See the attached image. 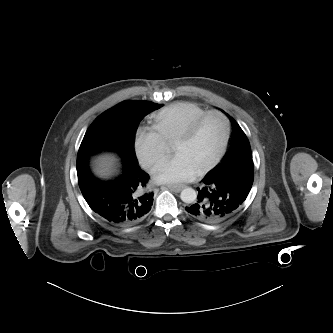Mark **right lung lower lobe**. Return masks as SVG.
<instances>
[{"label":"right lung lower lobe","mask_w":333,"mask_h":333,"mask_svg":"<svg viewBox=\"0 0 333 333\" xmlns=\"http://www.w3.org/2000/svg\"><path fill=\"white\" fill-rule=\"evenodd\" d=\"M89 157L77 158L78 184L90 208L111 224L128 226L143 220L153 205V193L146 192L149 175L138 164L123 160L121 174L114 180L95 177Z\"/></svg>","instance_id":"1"}]
</instances>
